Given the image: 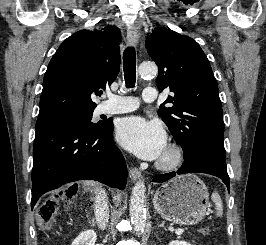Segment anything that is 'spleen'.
Instances as JSON below:
<instances>
[{
    "mask_svg": "<svg viewBox=\"0 0 266 245\" xmlns=\"http://www.w3.org/2000/svg\"><path fill=\"white\" fill-rule=\"evenodd\" d=\"M213 203H215L216 211H217V217H222L223 215V203L221 201L220 195L214 191L211 195Z\"/></svg>",
    "mask_w": 266,
    "mask_h": 245,
    "instance_id": "spleen-1",
    "label": "spleen"
}]
</instances>
